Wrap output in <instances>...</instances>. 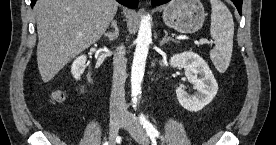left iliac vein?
<instances>
[{
    "label": "left iliac vein",
    "mask_w": 276,
    "mask_h": 145,
    "mask_svg": "<svg viewBox=\"0 0 276 145\" xmlns=\"http://www.w3.org/2000/svg\"><path fill=\"white\" fill-rule=\"evenodd\" d=\"M122 127L127 129L139 144L145 145L149 143L148 135L135 115L130 113L126 114L122 122Z\"/></svg>",
    "instance_id": "1"
}]
</instances>
